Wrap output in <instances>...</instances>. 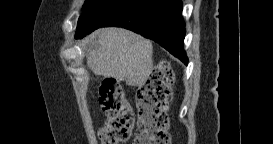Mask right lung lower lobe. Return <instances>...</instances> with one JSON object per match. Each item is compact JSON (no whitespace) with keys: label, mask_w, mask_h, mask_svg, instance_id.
<instances>
[{"label":"right lung lower lobe","mask_w":273,"mask_h":144,"mask_svg":"<svg viewBox=\"0 0 273 144\" xmlns=\"http://www.w3.org/2000/svg\"><path fill=\"white\" fill-rule=\"evenodd\" d=\"M107 26L132 30L159 43L185 64L188 62L183 49L181 0H114L97 16L87 34Z\"/></svg>","instance_id":"right-lung-lower-lobe-1"}]
</instances>
